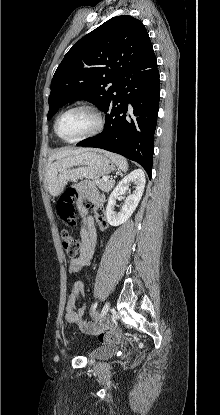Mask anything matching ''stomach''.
Segmentation results:
<instances>
[{
    "instance_id": "0dacf381",
    "label": "stomach",
    "mask_w": 220,
    "mask_h": 415,
    "mask_svg": "<svg viewBox=\"0 0 220 415\" xmlns=\"http://www.w3.org/2000/svg\"><path fill=\"white\" fill-rule=\"evenodd\" d=\"M114 164L106 156L94 150H86L76 155L58 159L48 169L46 182L51 195H60L68 181L79 179H99L111 173Z\"/></svg>"
}]
</instances>
